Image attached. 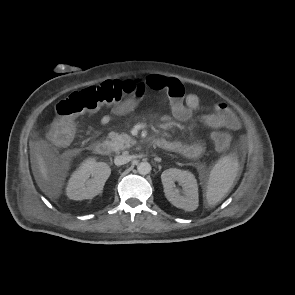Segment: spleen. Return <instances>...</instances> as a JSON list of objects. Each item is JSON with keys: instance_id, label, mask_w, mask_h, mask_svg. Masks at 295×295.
Masks as SVG:
<instances>
[{"instance_id": "obj_1", "label": "spleen", "mask_w": 295, "mask_h": 295, "mask_svg": "<svg viewBox=\"0 0 295 295\" xmlns=\"http://www.w3.org/2000/svg\"><path fill=\"white\" fill-rule=\"evenodd\" d=\"M238 161L231 155L221 157L212 168L207 182L206 200L209 206L218 203L232 186Z\"/></svg>"}]
</instances>
